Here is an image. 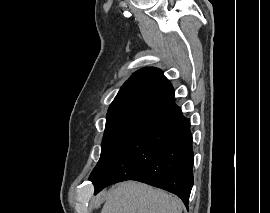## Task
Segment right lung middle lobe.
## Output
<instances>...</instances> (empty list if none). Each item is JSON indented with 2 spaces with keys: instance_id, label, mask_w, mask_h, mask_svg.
<instances>
[{
  "instance_id": "1",
  "label": "right lung middle lobe",
  "mask_w": 270,
  "mask_h": 213,
  "mask_svg": "<svg viewBox=\"0 0 270 213\" xmlns=\"http://www.w3.org/2000/svg\"><path fill=\"white\" fill-rule=\"evenodd\" d=\"M155 107L156 106L148 104H135L121 107L107 113L101 156L90 175V180L106 167L138 125Z\"/></svg>"
}]
</instances>
